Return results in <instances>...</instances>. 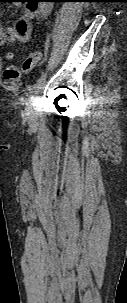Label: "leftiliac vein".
I'll return each mask as SVG.
<instances>
[{
    "mask_svg": "<svg viewBox=\"0 0 127 303\" xmlns=\"http://www.w3.org/2000/svg\"><path fill=\"white\" fill-rule=\"evenodd\" d=\"M25 114L28 119H32L34 117V106L32 99L28 100L26 103Z\"/></svg>",
    "mask_w": 127,
    "mask_h": 303,
    "instance_id": "obj_1",
    "label": "left iliac vein"
}]
</instances>
